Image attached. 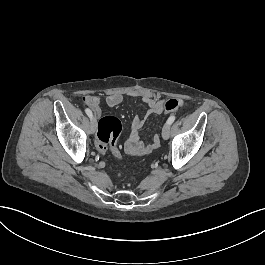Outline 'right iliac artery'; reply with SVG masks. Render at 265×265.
Wrapping results in <instances>:
<instances>
[{
    "label": "right iliac artery",
    "instance_id": "obj_1",
    "mask_svg": "<svg viewBox=\"0 0 265 265\" xmlns=\"http://www.w3.org/2000/svg\"><path fill=\"white\" fill-rule=\"evenodd\" d=\"M85 112H86V114L88 115V117H89L90 119H93L92 111H91L89 108H86V109H85Z\"/></svg>",
    "mask_w": 265,
    "mask_h": 265
}]
</instances>
